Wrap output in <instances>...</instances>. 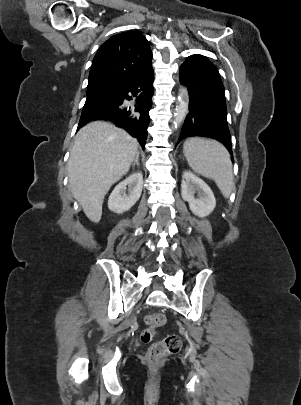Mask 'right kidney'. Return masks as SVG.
<instances>
[{"instance_id":"obj_1","label":"right kidney","mask_w":301,"mask_h":405,"mask_svg":"<svg viewBox=\"0 0 301 405\" xmlns=\"http://www.w3.org/2000/svg\"><path fill=\"white\" fill-rule=\"evenodd\" d=\"M143 187L142 173L136 172L120 182L112 191L108 200L109 210L115 213L128 211L140 198ZM128 188L129 194H126Z\"/></svg>"}]
</instances>
